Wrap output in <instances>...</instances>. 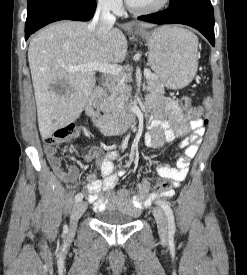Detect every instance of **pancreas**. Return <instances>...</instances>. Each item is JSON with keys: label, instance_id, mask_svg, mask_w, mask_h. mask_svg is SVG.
Segmentation results:
<instances>
[{"label": "pancreas", "instance_id": "1", "mask_svg": "<svg viewBox=\"0 0 247 275\" xmlns=\"http://www.w3.org/2000/svg\"><path fill=\"white\" fill-rule=\"evenodd\" d=\"M147 87L146 89L152 93H165L164 87L154 76H150L146 79ZM131 87L126 84V82L120 79H114L112 83L111 94L104 98L101 109L106 112H118L120 111L125 102L130 96Z\"/></svg>", "mask_w": 247, "mask_h": 275}]
</instances>
